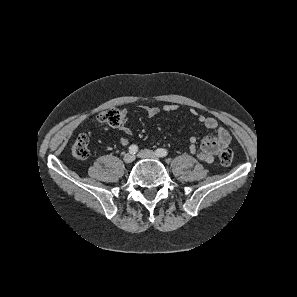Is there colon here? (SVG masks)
<instances>
[{
    "instance_id": "obj_1",
    "label": "colon",
    "mask_w": 297,
    "mask_h": 297,
    "mask_svg": "<svg viewBox=\"0 0 297 297\" xmlns=\"http://www.w3.org/2000/svg\"><path fill=\"white\" fill-rule=\"evenodd\" d=\"M100 122L118 127L122 124L123 112L118 109H108L99 114ZM89 138L85 134H80L72 145V154L77 159H85L89 156ZM234 158L231 149H224L219 154V161L223 166H229Z\"/></svg>"
}]
</instances>
